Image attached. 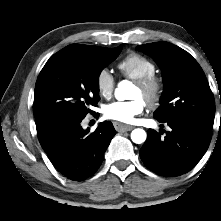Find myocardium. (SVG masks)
Instances as JSON below:
<instances>
[{"instance_id": "1", "label": "myocardium", "mask_w": 221, "mask_h": 221, "mask_svg": "<svg viewBox=\"0 0 221 221\" xmlns=\"http://www.w3.org/2000/svg\"><path fill=\"white\" fill-rule=\"evenodd\" d=\"M135 85L142 92V99L150 108H156L162 99L163 81L157 75H149L140 79L134 80Z\"/></svg>"}]
</instances>
